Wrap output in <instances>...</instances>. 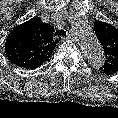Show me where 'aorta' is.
Listing matches in <instances>:
<instances>
[{
	"mask_svg": "<svg viewBox=\"0 0 118 118\" xmlns=\"http://www.w3.org/2000/svg\"><path fill=\"white\" fill-rule=\"evenodd\" d=\"M72 30L88 63L94 67L102 66L105 62L104 51L91 27L86 22L77 20L73 23Z\"/></svg>",
	"mask_w": 118,
	"mask_h": 118,
	"instance_id": "762f6f07",
	"label": "aorta"
}]
</instances>
